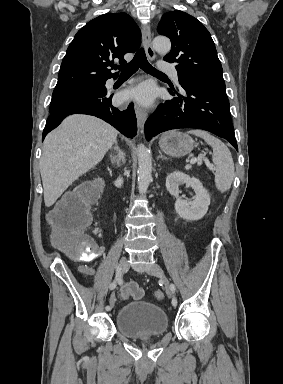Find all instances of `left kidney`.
<instances>
[{"mask_svg": "<svg viewBox=\"0 0 283 384\" xmlns=\"http://www.w3.org/2000/svg\"><path fill=\"white\" fill-rule=\"evenodd\" d=\"M182 184H186V186H190L194 190L196 198L193 202H187V200L179 198V186H182ZM166 188L171 196L177 198L175 210L180 218L193 222V220H201L205 216L208 206H210V196L207 190L203 188L200 180L190 178V176L182 174V172H173V174H168L166 178Z\"/></svg>", "mask_w": 283, "mask_h": 384, "instance_id": "left-kidney-1", "label": "left kidney"}]
</instances>
